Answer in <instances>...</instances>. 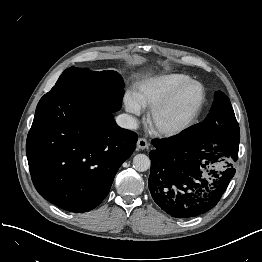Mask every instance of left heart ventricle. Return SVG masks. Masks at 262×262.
<instances>
[{
    "label": "left heart ventricle",
    "mask_w": 262,
    "mask_h": 262,
    "mask_svg": "<svg viewBox=\"0 0 262 262\" xmlns=\"http://www.w3.org/2000/svg\"><path fill=\"white\" fill-rule=\"evenodd\" d=\"M202 97V89L197 84L185 87L176 99L157 117L163 127H173L184 123L196 110Z\"/></svg>",
    "instance_id": "b2bd125f"
}]
</instances>
